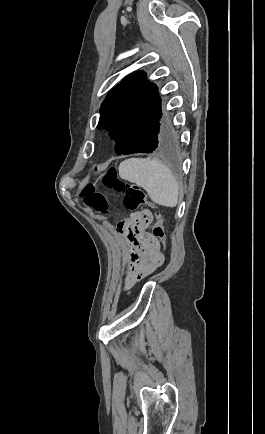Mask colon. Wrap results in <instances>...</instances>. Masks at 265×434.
<instances>
[{
	"mask_svg": "<svg viewBox=\"0 0 265 434\" xmlns=\"http://www.w3.org/2000/svg\"><path fill=\"white\" fill-rule=\"evenodd\" d=\"M101 183L105 187L112 188L119 192L122 195L124 207L129 211H137L141 207H152V203L145 191L137 185L120 180L115 167H109L106 170L104 176L101 178ZM83 203L90 209L101 212L104 210L105 198L103 193L96 186L88 184L84 189ZM152 220L154 221L152 229L153 237L155 240L160 239L164 242L165 233L161 216L154 213Z\"/></svg>",
	"mask_w": 265,
	"mask_h": 434,
	"instance_id": "obj_1",
	"label": "colon"
}]
</instances>
